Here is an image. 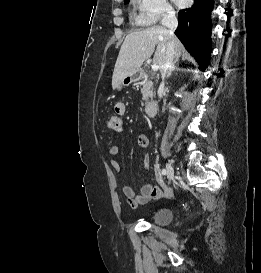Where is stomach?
I'll use <instances>...</instances> for the list:
<instances>
[{
  "label": "stomach",
  "instance_id": "1",
  "mask_svg": "<svg viewBox=\"0 0 261 273\" xmlns=\"http://www.w3.org/2000/svg\"><path fill=\"white\" fill-rule=\"evenodd\" d=\"M141 77V72L140 70H138L135 74L131 75V76H127L125 77L121 83L119 84V88L122 87V86H127L129 85L130 83L132 82H135V81H138Z\"/></svg>",
  "mask_w": 261,
  "mask_h": 273
}]
</instances>
